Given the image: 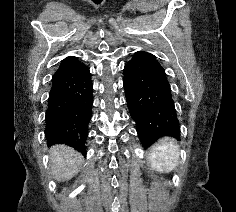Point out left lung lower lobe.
<instances>
[{"label": "left lung lower lobe", "mask_w": 236, "mask_h": 212, "mask_svg": "<svg viewBox=\"0 0 236 212\" xmlns=\"http://www.w3.org/2000/svg\"><path fill=\"white\" fill-rule=\"evenodd\" d=\"M124 89L130 115L144 147L162 136L179 139L180 127L171 87L164 68L153 54L135 52L124 67Z\"/></svg>", "instance_id": "0a47b994"}]
</instances>
